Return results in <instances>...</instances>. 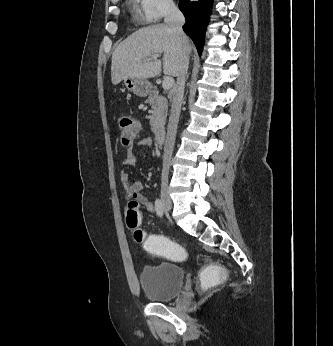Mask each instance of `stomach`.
Returning <instances> with one entry per match:
<instances>
[{
  "instance_id": "obj_1",
  "label": "stomach",
  "mask_w": 333,
  "mask_h": 346,
  "mask_svg": "<svg viewBox=\"0 0 333 346\" xmlns=\"http://www.w3.org/2000/svg\"><path fill=\"white\" fill-rule=\"evenodd\" d=\"M124 84L126 88L139 97H146L151 90V84L147 79L125 78Z\"/></svg>"
}]
</instances>
